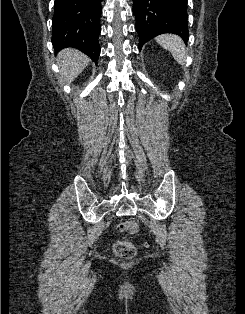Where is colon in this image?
Masks as SVG:
<instances>
[{"label":"colon","instance_id":"1","mask_svg":"<svg viewBox=\"0 0 245 314\" xmlns=\"http://www.w3.org/2000/svg\"><path fill=\"white\" fill-rule=\"evenodd\" d=\"M119 230L136 234L139 231V225L135 221H124L119 224ZM114 253L124 259L133 258L136 254V247L133 243L126 240H117L113 244Z\"/></svg>","mask_w":245,"mask_h":314}]
</instances>
